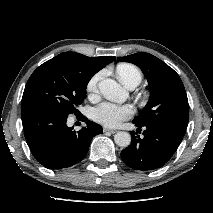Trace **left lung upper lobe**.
I'll return each instance as SVG.
<instances>
[{
	"instance_id": "obj_1",
	"label": "left lung upper lobe",
	"mask_w": 213,
	"mask_h": 213,
	"mask_svg": "<svg viewBox=\"0 0 213 213\" xmlns=\"http://www.w3.org/2000/svg\"><path fill=\"white\" fill-rule=\"evenodd\" d=\"M118 59L137 65L149 81V101L133 122L140 125L172 124L186 129L188 99L179 75L149 53L140 52Z\"/></svg>"
}]
</instances>
